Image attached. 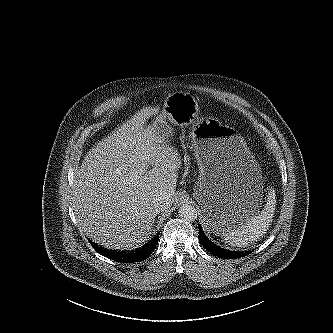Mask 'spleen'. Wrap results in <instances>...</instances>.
Segmentation results:
<instances>
[{
	"mask_svg": "<svg viewBox=\"0 0 333 333\" xmlns=\"http://www.w3.org/2000/svg\"><path fill=\"white\" fill-rule=\"evenodd\" d=\"M276 195L269 189L264 208L223 235L225 243L232 247H246L257 241L268 230L275 212Z\"/></svg>",
	"mask_w": 333,
	"mask_h": 333,
	"instance_id": "obj_1",
	"label": "spleen"
}]
</instances>
